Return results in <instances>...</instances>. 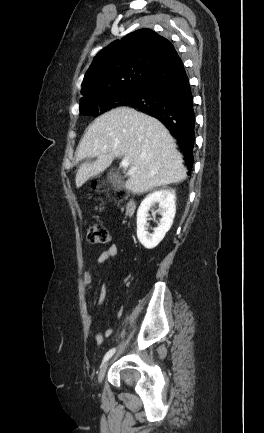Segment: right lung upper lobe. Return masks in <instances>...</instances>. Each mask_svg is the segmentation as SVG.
Returning a JSON list of instances; mask_svg holds the SVG:
<instances>
[{
	"label": "right lung upper lobe",
	"instance_id": "cb5924a9",
	"mask_svg": "<svg viewBox=\"0 0 264 433\" xmlns=\"http://www.w3.org/2000/svg\"><path fill=\"white\" fill-rule=\"evenodd\" d=\"M174 53L172 43L150 29H140L114 41L94 57L84 76L81 100L141 85Z\"/></svg>",
	"mask_w": 264,
	"mask_h": 433
}]
</instances>
